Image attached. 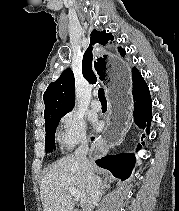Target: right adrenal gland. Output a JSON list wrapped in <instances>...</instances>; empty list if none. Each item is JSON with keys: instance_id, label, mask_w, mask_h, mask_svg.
<instances>
[{"instance_id": "1", "label": "right adrenal gland", "mask_w": 179, "mask_h": 211, "mask_svg": "<svg viewBox=\"0 0 179 211\" xmlns=\"http://www.w3.org/2000/svg\"><path fill=\"white\" fill-rule=\"evenodd\" d=\"M110 188V184L107 181V178H103L101 181V195L104 194L106 189Z\"/></svg>"}]
</instances>
